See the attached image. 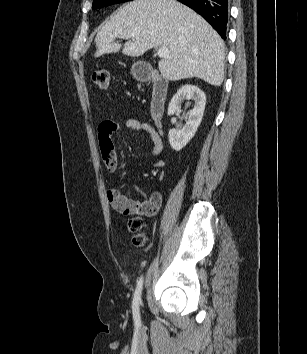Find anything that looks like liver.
<instances>
[{
  "instance_id": "6515ba94",
  "label": "liver",
  "mask_w": 307,
  "mask_h": 354,
  "mask_svg": "<svg viewBox=\"0 0 307 354\" xmlns=\"http://www.w3.org/2000/svg\"><path fill=\"white\" fill-rule=\"evenodd\" d=\"M116 38L127 39L122 52L142 56L151 48L170 54L158 63L171 81L197 77L220 86L225 46L219 34L196 12L176 0H134L117 10L95 38V57L120 51Z\"/></svg>"
}]
</instances>
